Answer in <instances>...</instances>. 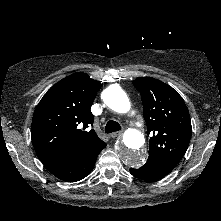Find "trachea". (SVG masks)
<instances>
[{
	"label": "trachea",
	"mask_w": 221,
	"mask_h": 221,
	"mask_svg": "<svg viewBox=\"0 0 221 221\" xmlns=\"http://www.w3.org/2000/svg\"><path fill=\"white\" fill-rule=\"evenodd\" d=\"M119 130H121V126L118 122L114 120H109L105 126L106 133H112Z\"/></svg>",
	"instance_id": "1"
}]
</instances>
